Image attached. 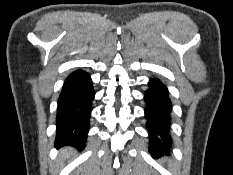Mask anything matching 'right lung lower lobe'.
Here are the masks:
<instances>
[{"mask_svg": "<svg viewBox=\"0 0 233 175\" xmlns=\"http://www.w3.org/2000/svg\"><path fill=\"white\" fill-rule=\"evenodd\" d=\"M94 96L87 72L77 70L66 78L58 99L56 146L84 148Z\"/></svg>", "mask_w": 233, "mask_h": 175, "instance_id": "right-lung-lower-lobe-1", "label": "right lung lower lobe"}]
</instances>
